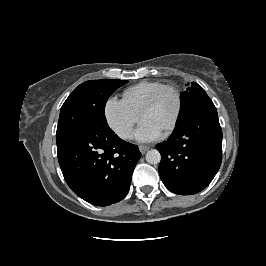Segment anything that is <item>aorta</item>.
Segmentation results:
<instances>
[{
	"label": "aorta",
	"instance_id": "aorta-1",
	"mask_svg": "<svg viewBox=\"0 0 266 266\" xmlns=\"http://www.w3.org/2000/svg\"><path fill=\"white\" fill-rule=\"evenodd\" d=\"M146 161L150 164H158L161 160V155L158 150L151 149L146 153Z\"/></svg>",
	"mask_w": 266,
	"mask_h": 266
}]
</instances>
